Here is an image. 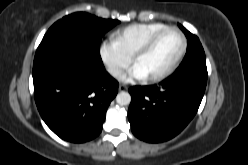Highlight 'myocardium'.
<instances>
[{"label": "myocardium", "instance_id": "myocardium-1", "mask_svg": "<svg viewBox=\"0 0 248 165\" xmlns=\"http://www.w3.org/2000/svg\"><path fill=\"white\" fill-rule=\"evenodd\" d=\"M168 31H175L179 34V36L181 38V42H182L181 49H180L177 57L174 59V61L166 69H164L162 72H160L156 75L147 77L148 81L155 82V81H160V80L166 78L169 74H171L179 66V64L181 63L182 59L184 58V56L186 54L188 44H187V38H186L185 34L183 33V31L176 26H166L165 28L152 34L142 44V46L133 55V63L136 64V61L141 56L145 55L154 46V44L157 42V40Z\"/></svg>", "mask_w": 248, "mask_h": 165}]
</instances>
